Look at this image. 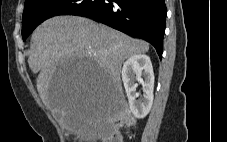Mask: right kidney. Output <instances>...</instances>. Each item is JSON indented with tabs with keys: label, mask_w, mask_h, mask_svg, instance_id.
<instances>
[{
	"label": "right kidney",
	"mask_w": 227,
	"mask_h": 142,
	"mask_svg": "<svg viewBox=\"0 0 227 142\" xmlns=\"http://www.w3.org/2000/svg\"><path fill=\"white\" fill-rule=\"evenodd\" d=\"M122 80L131 112L138 119L144 118L153 103L154 73L149 56L138 54L128 58L123 64ZM136 81L143 85L144 93L143 98L138 100Z\"/></svg>",
	"instance_id": "ca27d5eb"
}]
</instances>
